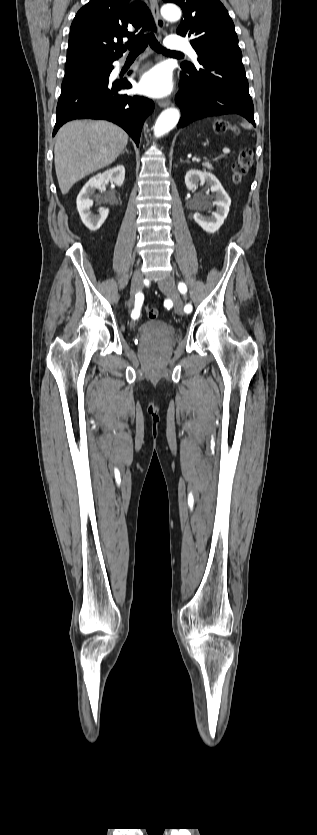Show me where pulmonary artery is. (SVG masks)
Instances as JSON below:
<instances>
[{
  "instance_id": "pulmonary-artery-1",
  "label": "pulmonary artery",
  "mask_w": 317,
  "mask_h": 835,
  "mask_svg": "<svg viewBox=\"0 0 317 835\" xmlns=\"http://www.w3.org/2000/svg\"><path fill=\"white\" fill-rule=\"evenodd\" d=\"M165 45L169 50H172V51H175V52L184 51L194 61H197L198 55H197L196 51L193 49L191 44L188 41H186L185 39H183L179 36H176V35H171V36L167 37V39L165 41Z\"/></svg>"
}]
</instances>
